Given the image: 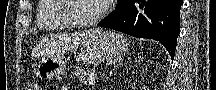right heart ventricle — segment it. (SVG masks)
Returning <instances> with one entry per match:
<instances>
[{
    "mask_svg": "<svg viewBox=\"0 0 216 90\" xmlns=\"http://www.w3.org/2000/svg\"><path fill=\"white\" fill-rule=\"evenodd\" d=\"M38 2H41V6H36L35 10H38L36 23L39 29H69L66 20H62V14H53V10H57V7H63L60 0H38Z\"/></svg>",
    "mask_w": 216,
    "mask_h": 90,
    "instance_id": "right-heart-ventricle-1",
    "label": "right heart ventricle"
}]
</instances>
